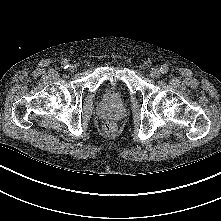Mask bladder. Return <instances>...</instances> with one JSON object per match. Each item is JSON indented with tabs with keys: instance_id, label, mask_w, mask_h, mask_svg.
<instances>
[{
	"instance_id": "obj_1",
	"label": "bladder",
	"mask_w": 221,
	"mask_h": 221,
	"mask_svg": "<svg viewBox=\"0 0 221 221\" xmlns=\"http://www.w3.org/2000/svg\"><path fill=\"white\" fill-rule=\"evenodd\" d=\"M123 90V85L119 81L106 82L105 90L107 93H112L114 90Z\"/></svg>"
}]
</instances>
